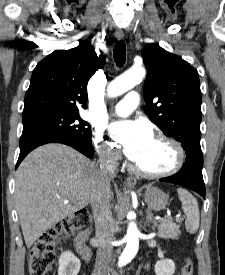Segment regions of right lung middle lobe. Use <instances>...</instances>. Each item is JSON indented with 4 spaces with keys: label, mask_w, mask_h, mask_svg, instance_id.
I'll return each mask as SVG.
<instances>
[{
    "label": "right lung middle lobe",
    "mask_w": 225,
    "mask_h": 275,
    "mask_svg": "<svg viewBox=\"0 0 225 275\" xmlns=\"http://www.w3.org/2000/svg\"><path fill=\"white\" fill-rule=\"evenodd\" d=\"M23 132L43 131L91 142V126L79 111H50L22 116Z\"/></svg>",
    "instance_id": "dd1d6c3e"
}]
</instances>
